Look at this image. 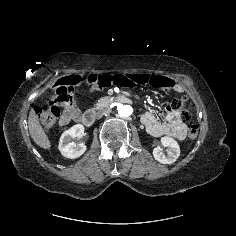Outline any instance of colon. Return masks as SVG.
<instances>
[{
	"mask_svg": "<svg viewBox=\"0 0 236 236\" xmlns=\"http://www.w3.org/2000/svg\"><path fill=\"white\" fill-rule=\"evenodd\" d=\"M83 87L84 84L78 79L65 78L56 86L51 102L48 105H39L36 107L35 112L44 129L51 130L55 127L60 117V107H62L63 104L72 103ZM172 108L176 111L180 110L184 120H190L191 106L188 104L187 99L174 100ZM197 135L198 125L196 123H190L188 125V137L195 139Z\"/></svg>",
	"mask_w": 236,
	"mask_h": 236,
	"instance_id": "obj_1",
	"label": "colon"
}]
</instances>
